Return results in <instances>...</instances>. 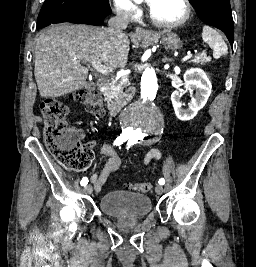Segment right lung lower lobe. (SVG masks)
Wrapping results in <instances>:
<instances>
[{
    "label": "right lung lower lobe",
    "instance_id": "obj_1",
    "mask_svg": "<svg viewBox=\"0 0 256 267\" xmlns=\"http://www.w3.org/2000/svg\"><path fill=\"white\" fill-rule=\"evenodd\" d=\"M103 16L94 15L91 13H82L75 16H62L56 15L51 18H48L41 23L37 22V26L40 28L46 27L50 24H56L61 22H73L77 24H90V25H101L104 22Z\"/></svg>",
    "mask_w": 256,
    "mask_h": 267
}]
</instances>
